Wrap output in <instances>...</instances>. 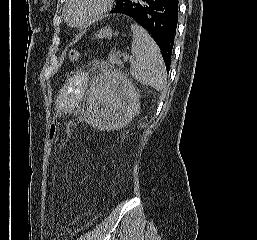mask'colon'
I'll use <instances>...</instances> for the list:
<instances>
[{
    "label": "colon",
    "mask_w": 257,
    "mask_h": 240,
    "mask_svg": "<svg viewBox=\"0 0 257 240\" xmlns=\"http://www.w3.org/2000/svg\"><path fill=\"white\" fill-rule=\"evenodd\" d=\"M79 58V52L77 50H72L69 53V59L71 61H77ZM57 132H58V126L56 123H52L49 126V131H48V135H49V139L50 141H54L57 137Z\"/></svg>",
    "instance_id": "5ec220e1"
}]
</instances>
